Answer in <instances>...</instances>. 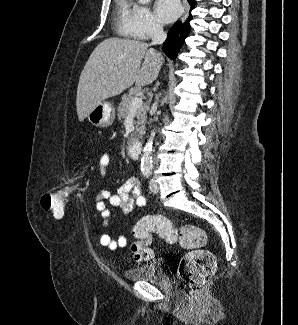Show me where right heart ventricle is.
I'll list each match as a JSON object with an SVG mask.
<instances>
[{
    "label": "right heart ventricle",
    "instance_id": "right-heart-ventricle-1",
    "mask_svg": "<svg viewBox=\"0 0 298 325\" xmlns=\"http://www.w3.org/2000/svg\"><path fill=\"white\" fill-rule=\"evenodd\" d=\"M116 37H128L127 28L133 23V7L128 1H119L114 15Z\"/></svg>",
    "mask_w": 298,
    "mask_h": 325
}]
</instances>
